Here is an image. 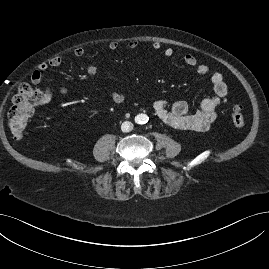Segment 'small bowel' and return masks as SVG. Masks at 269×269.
<instances>
[{
  "label": "small bowel",
  "mask_w": 269,
  "mask_h": 269,
  "mask_svg": "<svg viewBox=\"0 0 269 269\" xmlns=\"http://www.w3.org/2000/svg\"><path fill=\"white\" fill-rule=\"evenodd\" d=\"M138 42L131 40L128 42L127 47L130 50L138 48ZM119 47L116 41L109 43L108 48L111 51L117 50ZM152 48L155 51L162 49V44L159 42H153ZM76 57H83L85 50L78 47L74 50ZM164 57L171 58L174 55V50L171 47H167L162 51ZM183 62L189 67H194L196 72L200 76H208L212 86L213 96L206 98L201 102L200 108L195 113L189 112V105L184 100L174 102L171 107H168L167 103L163 100H156L153 104V109L156 115L169 127L179 131H206L210 128L213 122L217 118V109L220 105L228 103L229 89L224 80L223 75L220 72H211L210 68L206 64H199L196 57L187 53L183 56ZM63 63V59L59 56L49 59L47 62L40 64L31 74V82L33 84H40L43 78L44 72L49 68L59 67ZM86 72L94 76L98 72V68L94 64H90L86 68ZM62 95L67 94L68 90L66 87L61 86L58 89ZM42 103H49L53 96L54 90L52 87H45L41 91ZM112 101L116 104L124 102V96L117 92L112 91L110 93Z\"/></svg>",
  "instance_id": "obj_1"
}]
</instances>
